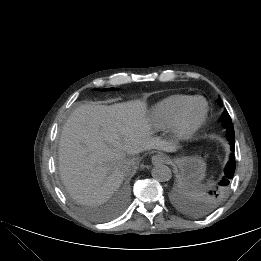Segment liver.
<instances>
[{
	"instance_id": "liver-1",
	"label": "liver",
	"mask_w": 261,
	"mask_h": 261,
	"mask_svg": "<svg viewBox=\"0 0 261 261\" xmlns=\"http://www.w3.org/2000/svg\"><path fill=\"white\" fill-rule=\"evenodd\" d=\"M146 103L134 100L114 105L84 104L63 126L59 142V170L70 195L79 203L106 202L129 173L121 160L147 150H167L151 136Z\"/></svg>"
}]
</instances>
